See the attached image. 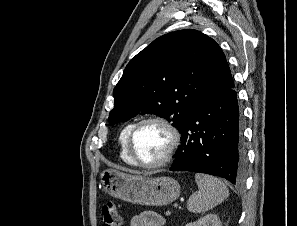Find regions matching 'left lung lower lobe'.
Returning a JSON list of instances; mask_svg holds the SVG:
<instances>
[{
  "label": "left lung lower lobe",
  "instance_id": "1",
  "mask_svg": "<svg viewBox=\"0 0 297 226\" xmlns=\"http://www.w3.org/2000/svg\"><path fill=\"white\" fill-rule=\"evenodd\" d=\"M233 87L206 92L184 121L171 171L219 176L241 184L245 173L241 114Z\"/></svg>",
  "mask_w": 297,
  "mask_h": 226
}]
</instances>
